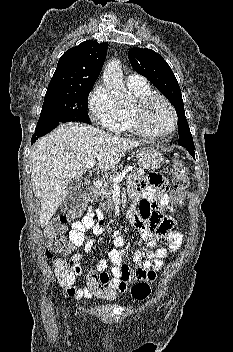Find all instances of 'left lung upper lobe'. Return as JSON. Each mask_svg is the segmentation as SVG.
Wrapping results in <instances>:
<instances>
[{"label": "left lung upper lobe", "instance_id": "left-lung-upper-lobe-1", "mask_svg": "<svg viewBox=\"0 0 233 352\" xmlns=\"http://www.w3.org/2000/svg\"><path fill=\"white\" fill-rule=\"evenodd\" d=\"M132 67L145 76L175 107L178 116V144L194 149L193 138L185 117L179 84L163 57L151 49L133 48L128 52Z\"/></svg>", "mask_w": 233, "mask_h": 352}]
</instances>
